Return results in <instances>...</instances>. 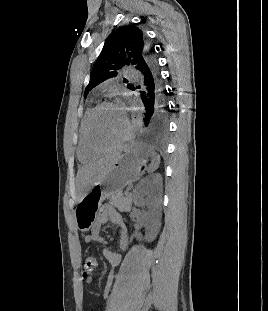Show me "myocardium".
I'll use <instances>...</instances> for the list:
<instances>
[{"mask_svg": "<svg viewBox=\"0 0 268 311\" xmlns=\"http://www.w3.org/2000/svg\"><path fill=\"white\" fill-rule=\"evenodd\" d=\"M110 106L115 107V105L109 101H104V102L99 103L90 111V113L87 116L86 121H85V129H84L85 141H86L88 148L96 154H103V153L110 152L112 150L117 149L118 147L123 145L131 136V124H130L128 118L124 115L125 123H126V130H125V133L123 134V136L116 143H114L113 145H111L109 147L101 148V147H98L93 142L92 136H91L92 121H93L94 117L96 116V114L101 109H103L105 107H110Z\"/></svg>", "mask_w": 268, "mask_h": 311, "instance_id": "1", "label": "myocardium"}]
</instances>
